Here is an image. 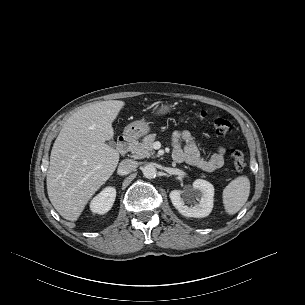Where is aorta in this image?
I'll use <instances>...</instances> for the list:
<instances>
[{"label": "aorta", "instance_id": "762f6f07", "mask_svg": "<svg viewBox=\"0 0 305 305\" xmlns=\"http://www.w3.org/2000/svg\"><path fill=\"white\" fill-rule=\"evenodd\" d=\"M142 172H143V175L148 179L155 178L156 174H157V170H156L155 166L152 164L145 165L142 169Z\"/></svg>", "mask_w": 305, "mask_h": 305}]
</instances>
